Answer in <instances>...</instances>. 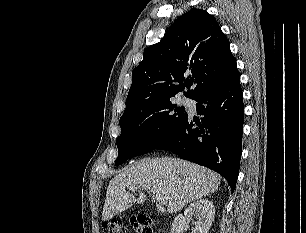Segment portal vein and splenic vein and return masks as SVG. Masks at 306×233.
<instances>
[{
  "mask_svg": "<svg viewBox=\"0 0 306 233\" xmlns=\"http://www.w3.org/2000/svg\"><path fill=\"white\" fill-rule=\"evenodd\" d=\"M132 189H134V188H132ZM154 198L157 200V202L159 204L165 205V204L168 203V199L166 197L162 196L161 194H158V193L155 194Z\"/></svg>",
  "mask_w": 306,
  "mask_h": 233,
  "instance_id": "obj_1",
  "label": "portal vein and splenic vein"
}]
</instances>
